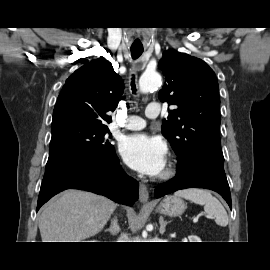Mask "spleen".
Masks as SVG:
<instances>
[{
	"label": "spleen",
	"instance_id": "3e777b00",
	"mask_svg": "<svg viewBox=\"0 0 270 270\" xmlns=\"http://www.w3.org/2000/svg\"><path fill=\"white\" fill-rule=\"evenodd\" d=\"M176 197H182L199 205H204L206 214L215 217L217 225L225 227L228 225V216L219 200L211 195L209 191L190 188L179 190L174 193Z\"/></svg>",
	"mask_w": 270,
	"mask_h": 270
}]
</instances>
